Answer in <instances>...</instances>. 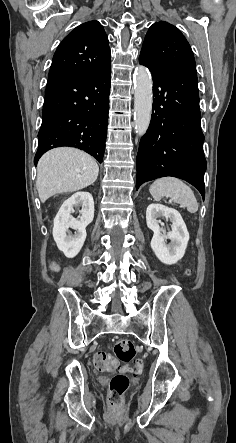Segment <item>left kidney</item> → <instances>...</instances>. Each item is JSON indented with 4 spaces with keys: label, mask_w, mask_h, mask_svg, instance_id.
<instances>
[{
    "label": "left kidney",
    "mask_w": 236,
    "mask_h": 443,
    "mask_svg": "<svg viewBox=\"0 0 236 443\" xmlns=\"http://www.w3.org/2000/svg\"><path fill=\"white\" fill-rule=\"evenodd\" d=\"M159 218H166L172 225V230L163 234ZM146 222L154 232L151 248L156 257L164 264L172 265L181 260L185 254L189 241V233L180 213L162 204H150L146 210ZM170 243L167 244L166 240Z\"/></svg>",
    "instance_id": "5707ae66"
}]
</instances>
